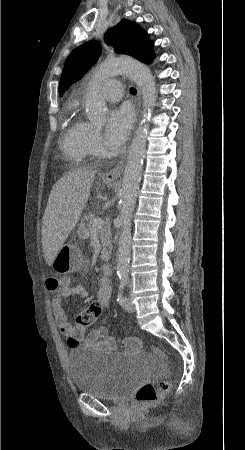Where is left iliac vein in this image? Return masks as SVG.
I'll list each match as a JSON object with an SVG mask.
<instances>
[{
    "label": "left iliac vein",
    "instance_id": "left-iliac-vein-1",
    "mask_svg": "<svg viewBox=\"0 0 245 450\" xmlns=\"http://www.w3.org/2000/svg\"><path fill=\"white\" fill-rule=\"evenodd\" d=\"M123 307L125 308L126 311L130 313H134L136 310L130 297H125Z\"/></svg>",
    "mask_w": 245,
    "mask_h": 450
}]
</instances>
